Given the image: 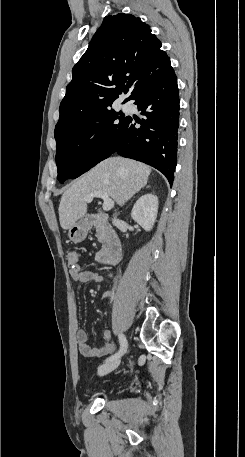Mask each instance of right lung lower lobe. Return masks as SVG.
<instances>
[{
  "label": "right lung lower lobe",
  "instance_id": "98d812e1",
  "mask_svg": "<svg viewBox=\"0 0 245 457\" xmlns=\"http://www.w3.org/2000/svg\"><path fill=\"white\" fill-rule=\"evenodd\" d=\"M129 100H134L146 118H124L113 153L155 167L172 185L177 164L180 110L173 68L144 82ZM136 123L141 127L136 128Z\"/></svg>",
  "mask_w": 245,
  "mask_h": 457
}]
</instances>
